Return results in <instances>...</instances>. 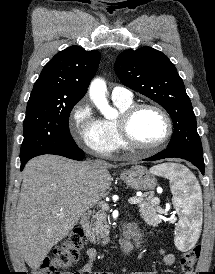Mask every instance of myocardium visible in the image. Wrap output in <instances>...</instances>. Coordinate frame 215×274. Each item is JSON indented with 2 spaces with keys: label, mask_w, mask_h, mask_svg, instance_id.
Instances as JSON below:
<instances>
[{
  "label": "myocardium",
  "mask_w": 215,
  "mask_h": 274,
  "mask_svg": "<svg viewBox=\"0 0 215 274\" xmlns=\"http://www.w3.org/2000/svg\"><path fill=\"white\" fill-rule=\"evenodd\" d=\"M144 109H151L158 112L166 124V133L163 138L158 142L149 145L138 143L133 138L130 131V125L133 118L139 111ZM117 129L125 147L135 150L152 151L164 146L170 140L173 134V123L169 114L162 107L152 103H138L132 104L120 113V116L117 119Z\"/></svg>",
  "instance_id": "1"
}]
</instances>
